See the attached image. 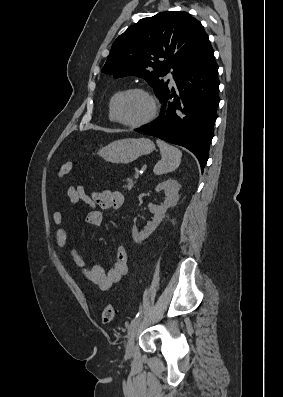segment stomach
<instances>
[{"mask_svg": "<svg viewBox=\"0 0 283 397\" xmlns=\"http://www.w3.org/2000/svg\"><path fill=\"white\" fill-rule=\"evenodd\" d=\"M154 149V143L148 138H124L102 147L98 154L108 162L128 164Z\"/></svg>", "mask_w": 283, "mask_h": 397, "instance_id": "stomach-1", "label": "stomach"}]
</instances>
